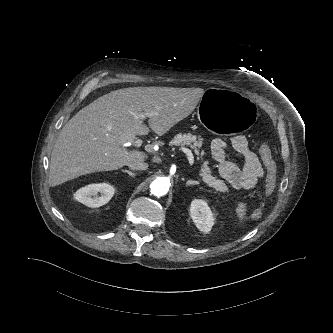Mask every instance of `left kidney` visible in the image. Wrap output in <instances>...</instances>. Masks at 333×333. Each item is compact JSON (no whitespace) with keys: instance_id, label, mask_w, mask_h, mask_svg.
<instances>
[{"instance_id":"1","label":"left kidney","mask_w":333,"mask_h":333,"mask_svg":"<svg viewBox=\"0 0 333 333\" xmlns=\"http://www.w3.org/2000/svg\"><path fill=\"white\" fill-rule=\"evenodd\" d=\"M190 216L200 231L210 232L214 224V218L212 211L204 200L195 199L191 202Z\"/></svg>"}]
</instances>
